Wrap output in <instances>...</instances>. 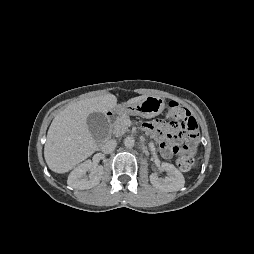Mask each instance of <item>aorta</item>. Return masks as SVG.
<instances>
[{"label": "aorta", "instance_id": "762f6f07", "mask_svg": "<svg viewBox=\"0 0 254 254\" xmlns=\"http://www.w3.org/2000/svg\"><path fill=\"white\" fill-rule=\"evenodd\" d=\"M134 143H135V140L134 138L132 137H126L124 139V145L127 147V148H131L134 146Z\"/></svg>", "mask_w": 254, "mask_h": 254}]
</instances>
